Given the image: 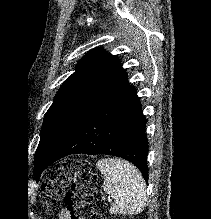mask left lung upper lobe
Instances as JSON below:
<instances>
[{
	"instance_id": "1",
	"label": "left lung upper lobe",
	"mask_w": 211,
	"mask_h": 219,
	"mask_svg": "<svg viewBox=\"0 0 211 219\" xmlns=\"http://www.w3.org/2000/svg\"><path fill=\"white\" fill-rule=\"evenodd\" d=\"M117 56L102 49L87 53L75 72L63 83L45 114L36 150L51 157L64 142L78 120L125 74ZM36 180L41 175L35 161Z\"/></svg>"
}]
</instances>
